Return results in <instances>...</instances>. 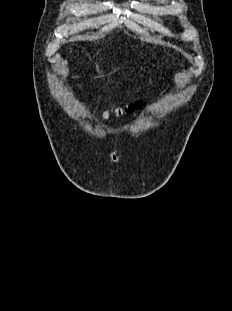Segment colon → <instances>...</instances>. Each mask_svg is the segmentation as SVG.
Wrapping results in <instances>:
<instances>
[{"instance_id":"obj_1","label":"colon","mask_w":232,"mask_h":311,"mask_svg":"<svg viewBox=\"0 0 232 311\" xmlns=\"http://www.w3.org/2000/svg\"><path fill=\"white\" fill-rule=\"evenodd\" d=\"M138 108H140V103L139 102L131 103V104L126 105V106H124L122 108H119L117 110V114L131 113V112L135 111Z\"/></svg>"}]
</instances>
